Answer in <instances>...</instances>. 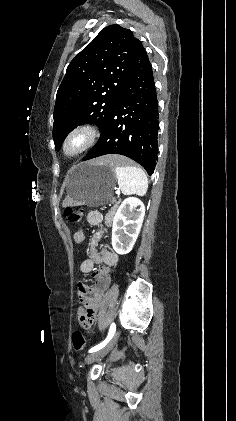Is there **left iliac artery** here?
<instances>
[{"label": "left iliac artery", "mask_w": 236, "mask_h": 421, "mask_svg": "<svg viewBox=\"0 0 236 421\" xmlns=\"http://www.w3.org/2000/svg\"><path fill=\"white\" fill-rule=\"evenodd\" d=\"M115 331H116V325H115V323H112L111 326H110V329H109V333H108L107 338L103 342H101L100 344H98V345L94 346L93 348H91L89 350V353L95 352V351L103 348L110 341V339L113 337Z\"/></svg>", "instance_id": "44dca946"}]
</instances>
